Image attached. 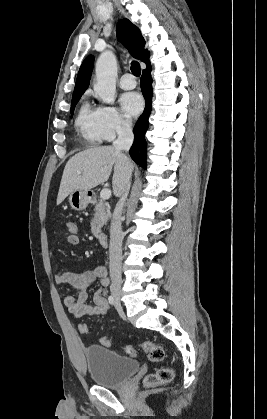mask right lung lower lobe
Returning <instances> with one entry per match:
<instances>
[{
	"mask_svg": "<svg viewBox=\"0 0 267 419\" xmlns=\"http://www.w3.org/2000/svg\"><path fill=\"white\" fill-rule=\"evenodd\" d=\"M151 66H147L143 70L141 77V89L145 98V109L143 114L139 117L136 122L133 133L134 143L130 149L131 158L143 168H146V141L145 133L148 129V118L151 113L152 103V78H151Z\"/></svg>",
	"mask_w": 267,
	"mask_h": 419,
	"instance_id": "right-lung-lower-lobe-1",
	"label": "right lung lower lobe"
}]
</instances>
